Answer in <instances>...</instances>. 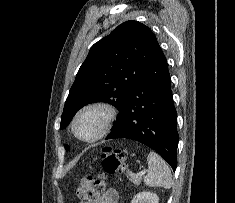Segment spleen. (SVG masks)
I'll return each mask as SVG.
<instances>
[{
    "label": "spleen",
    "instance_id": "spleen-1",
    "mask_svg": "<svg viewBox=\"0 0 235 203\" xmlns=\"http://www.w3.org/2000/svg\"><path fill=\"white\" fill-rule=\"evenodd\" d=\"M148 173L144 178V183L149 187H164L166 189L172 186V175L166 162L156 153L150 152L147 158Z\"/></svg>",
    "mask_w": 235,
    "mask_h": 203
}]
</instances>
